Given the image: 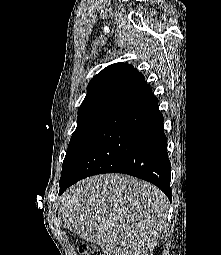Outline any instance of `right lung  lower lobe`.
I'll return each mask as SVG.
<instances>
[{"mask_svg":"<svg viewBox=\"0 0 221 255\" xmlns=\"http://www.w3.org/2000/svg\"><path fill=\"white\" fill-rule=\"evenodd\" d=\"M163 121L150 88L118 107L60 180L59 195L83 178L114 172L153 183L171 201V165Z\"/></svg>","mask_w":221,"mask_h":255,"instance_id":"obj_1","label":"right lung lower lobe"}]
</instances>
